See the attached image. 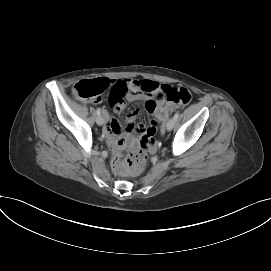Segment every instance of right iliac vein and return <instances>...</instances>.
I'll return each instance as SVG.
<instances>
[{
  "label": "right iliac vein",
  "mask_w": 271,
  "mask_h": 271,
  "mask_svg": "<svg viewBox=\"0 0 271 271\" xmlns=\"http://www.w3.org/2000/svg\"><path fill=\"white\" fill-rule=\"evenodd\" d=\"M105 120H104V117L99 115L97 118H96V123L99 125V126H102L104 124Z\"/></svg>",
  "instance_id": "obj_1"
}]
</instances>
